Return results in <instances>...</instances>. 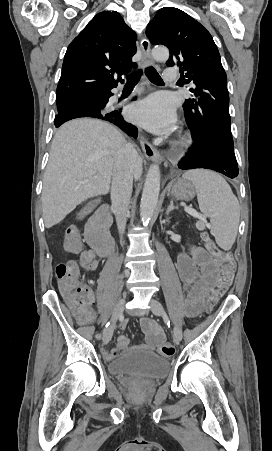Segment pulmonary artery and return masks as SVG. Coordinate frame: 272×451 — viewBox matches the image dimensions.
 I'll list each match as a JSON object with an SVG mask.
<instances>
[{"label":"pulmonary artery","mask_w":272,"mask_h":451,"mask_svg":"<svg viewBox=\"0 0 272 451\" xmlns=\"http://www.w3.org/2000/svg\"><path fill=\"white\" fill-rule=\"evenodd\" d=\"M177 71L176 66L169 65L166 67L165 70L162 71V78L166 81L170 82L172 85H177L179 83V78L175 76V73ZM119 96L118 93L114 94L112 99H116Z\"/></svg>","instance_id":"obj_1"}]
</instances>
